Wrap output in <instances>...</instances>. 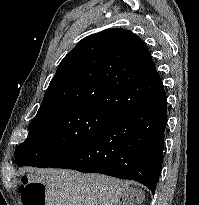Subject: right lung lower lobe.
<instances>
[{"label":"right lung lower lobe","mask_w":199,"mask_h":205,"mask_svg":"<svg viewBox=\"0 0 199 205\" xmlns=\"http://www.w3.org/2000/svg\"><path fill=\"white\" fill-rule=\"evenodd\" d=\"M143 97L95 139L50 168L101 173L135 180L154 195L161 173L167 96L160 76L132 85Z\"/></svg>","instance_id":"right-lung-lower-lobe-1"}]
</instances>
